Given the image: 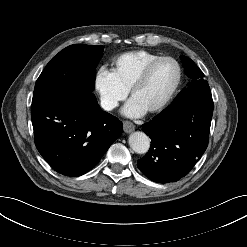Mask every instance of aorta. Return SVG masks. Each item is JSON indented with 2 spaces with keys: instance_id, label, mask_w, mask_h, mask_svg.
I'll list each match as a JSON object with an SVG mask.
<instances>
[{
  "instance_id": "aorta-1",
  "label": "aorta",
  "mask_w": 247,
  "mask_h": 247,
  "mask_svg": "<svg viewBox=\"0 0 247 247\" xmlns=\"http://www.w3.org/2000/svg\"><path fill=\"white\" fill-rule=\"evenodd\" d=\"M128 142L131 149L138 154L146 153L150 147L149 137L145 133L140 131L130 134Z\"/></svg>"
}]
</instances>
